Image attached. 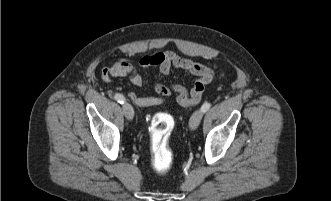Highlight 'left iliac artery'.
<instances>
[{"mask_svg": "<svg viewBox=\"0 0 331 201\" xmlns=\"http://www.w3.org/2000/svg\"><path fill=\"white\" fill-rule=\"evenodd\" d=\"M210 107H211V104L206 102L202 105L201 110L203 113H205L206 111H208L210 109Z\"/></svg>", "mask_w": 331, "mask_h": 201, "instance_id": "left-iliac-artery-1", "label": "left iliac artery"}]
</instances>
